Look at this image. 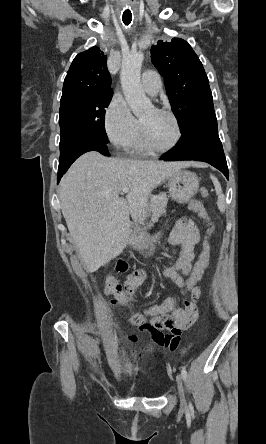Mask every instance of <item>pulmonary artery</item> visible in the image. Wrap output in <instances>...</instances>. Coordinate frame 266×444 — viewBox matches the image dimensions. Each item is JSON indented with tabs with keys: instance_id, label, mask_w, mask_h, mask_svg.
Wrapping results in <instances>:
<instances>
[{
	"instance_id": "1",
	"label": "pulmonary artery",
	"mask_w": 266,
	"mask_h": 444,
	"mask_svg": "<svg viewBox=\"0 0 266 444\" xmlns=\"http://www.w3.org/2000/svg\"><path fill=\"white\" fill-rule=\"evenodd\" d=\"M141 84L146 93L156 95L162 89L160 75L154 70H146L141 78Z\"/></svg>"
}]
</instances>
